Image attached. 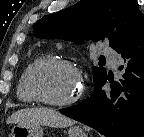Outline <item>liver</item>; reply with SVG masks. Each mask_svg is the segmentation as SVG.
<instances>
[{
    "instance_id": "6515ba94",
    "label": "liver",
    "mask_w": 144,
    "mask_h": 137,
    "mask_svg": "<svg viewBox=\"0 0 144 137\" xmlns=\"http://www.w3.org/2000/svg\"><path fill=\"white\" fill-rule=\"evenodd\" d=\"M8 124L45 125L50 127H68L75 123L72 119L50 108H27L14 112Z\"/></svg>"
}]
</instances>
